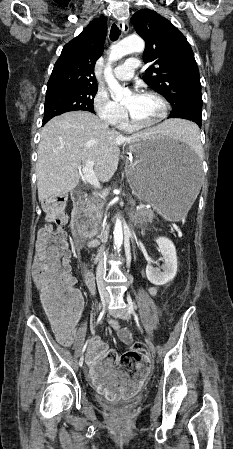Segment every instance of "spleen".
I'll use <instances>...</instances> for the list:
<instances>
[{"label": "spleen", "instance_id": "1", "mask_svg": "<svg viewBox=\"0 0 233 449\" xmlns=\"http://www.w3.org/2000/svg\"><path fill=\"white\" fill-rule=\"evenodd\" d=\"M176 138H178L180 142H186L197 149L199 147L197 124L181 125V130L178 131Z\"/></svg>", "mask_w": 233, "mask_h": 449}]
</instances>
